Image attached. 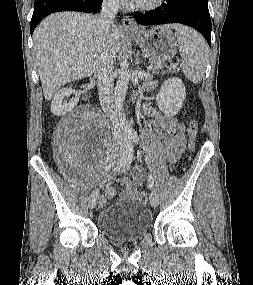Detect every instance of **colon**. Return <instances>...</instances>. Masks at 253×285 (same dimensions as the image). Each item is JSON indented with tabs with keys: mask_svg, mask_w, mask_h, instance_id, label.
Here are the masks:
<instances>
[{
	"mask_svg": "<svg viewBox=\"0 0 253 285\" xmlns=\"http://www.w3.org/2000/svg\"><path fill=\"white\" fill-rule=\"evenodd\" d=\"M197 133H198V125H197V122L193 120L188 125V137H189L188 149H189V151H193L194 150ZM138 200L141 203L146 204L148 202V195H147V193L146 192H141L139 194V196H138Z\"/></svg>",
	"mask_w": 253,
	"mask_h": 285,
	"instance_id": "obj_1",
	"label": "colon"
}]
</instances>
